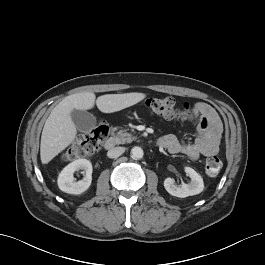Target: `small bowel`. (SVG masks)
I'll return each mask as SVG.
<instances>
[{
	"label": "small bowel",
	"instance_id": "small-bowel-1",
	"mask_svg": "<svg viewBox=\"0 0 265 265\" xmlns=\"http://www.w3.org/2000/svg\"><path fill=\"white\" fill-rule=\"evenodd\" d=\"M195 115L200 117L197 135L193 142H181L174 135L161 138L162 146L172 154H184L192 160L200 156L215 155L219 151L222 123L216 110L206 102L194 105Z\"/></svg>",
	"mask_w": 265,
	"mask_h": 265
}]
</instances>
